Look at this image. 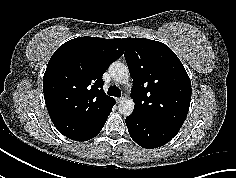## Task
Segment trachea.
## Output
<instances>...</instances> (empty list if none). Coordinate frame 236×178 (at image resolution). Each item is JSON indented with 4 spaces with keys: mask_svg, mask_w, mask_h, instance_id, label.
<instances>
[{
    "mask_svg": "<svg viewBox=\"0 0 236 178\" xmlns=\"http://www.w3.org/2000/svg\"><path fill=\"white\" fill-rule=\"evenodd\" d=\"M107 94L110 95V96L120 97L121 96V91L116 86H110L108 88Z\"/></svg>",
    "mask_w": 236,
    "mask_h": 178,
    "instance_id": "1",
    "label": "trachea"
}]
</instances>
